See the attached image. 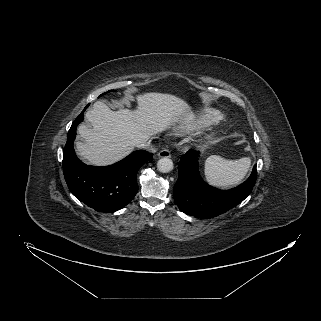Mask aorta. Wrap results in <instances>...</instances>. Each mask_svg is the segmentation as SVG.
<instances>
[{
    "mask_svg": "<svg viewBox=\"0 0 321 321\" xmlns=\"http://www.w3.org/2000/svg\"><path fill=\"white\" fill-rule=\"evenodd\" d=\"M173 162L171 159L164 157L158 160L157 168L162 173H168L173 170Z\"/></svg>",
    "mask_w": 321,
    "mask_h": 321,
    "instance_id": "obj_1",
    "label": "aorta"
}]
</instances>
